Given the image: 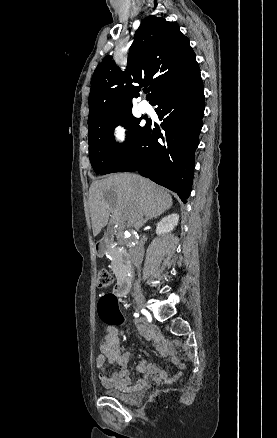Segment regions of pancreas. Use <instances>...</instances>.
Instances as JSON below:
<instances>
[{"instance_id": "cf45deb5", "label": "pancreas", "mask_w": 277, "mask_h": 438, "mask_svg": "<svg viewBox=\"0 0 277 438\" xmlns=\"http://www.w3.org/2000/svg\"><path fill=\"white\" fill-rule=\"evenodd\" d=\"M115 238L116 233L114 231H107L102 239H97L96 244L103 245L104 250L102 253H110L108 258L110 270H121L122 267H125L126 260L123 258V251H117Z\"/></svg>"}]
</instances>
